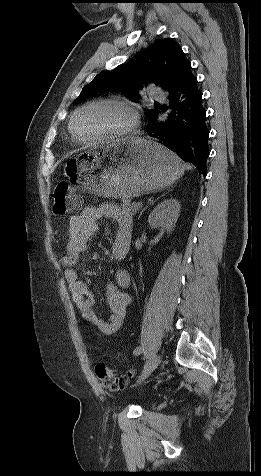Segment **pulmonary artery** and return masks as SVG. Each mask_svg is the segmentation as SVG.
I'll return each instance as SVG.
<instances>
[{
	"label": "pulmonary artery",
	"instance_id": "e3ab8cb5",
	"mask_svg": "<svg viewBox=\"0 0 261 476\" xmlns=\"http://www.w3.org/2000/svg\"><path fill=\"white\" fill-rule=\"evenodd\" d=\"M150 97H151V99L157 100V101H164L165 100L164 93L161 90H159L158 88H155V87H152L150 89Z\"/></svg>",
	"mask_w": 261,
	"mask_h": 476
}]
</instances>
